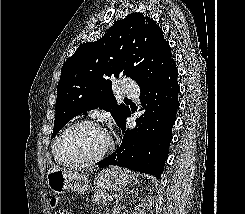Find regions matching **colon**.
I'll use <instances>...</instances> for the list:
<instances>
[{
	"label": "colon",
	"instance_id": "5ec220e1",
	"mask_svg": "<svg viewBox=\"0 0 245 214\" xmlns=\"http://www.w3.org/2000/svg\"><path fill=\"white\" fill-rule=\"evenodd\" d=\"M56 214H71V213L68 211H65V210H59V211H57Z\"/></svg>",
	"mask_w": 245,
	"mask_h": 214
}]
</instances>
